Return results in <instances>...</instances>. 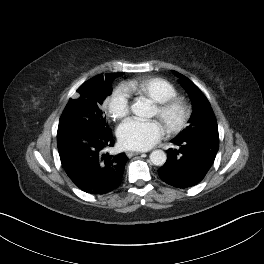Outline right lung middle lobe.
<instances>
[{
    "instance_id": "right-lung-middle-lobe-1",
    "label": "right lung middle lobe",
    "mask_w": 264,
    "mask_h": 264,
    "mask_svg": "<svg viewBox=\"0 0 264 264\" xmlns=\"http://www.w3.org/2000/svg\"><path fill=\"white\" fill-rule=\"evenodd\" d=\"M121 75L122 73H112L104 77L98 75L82 84L77 89L78 98L70 99L61 115L57 138L89 125L110 131L103 115L102 104L112 92V80Z\"/></svg>"
}]
</instances>
